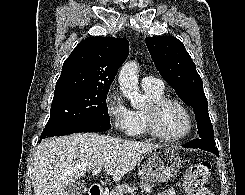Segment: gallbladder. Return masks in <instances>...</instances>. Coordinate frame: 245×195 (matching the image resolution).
Here are the masks:
<instances>
[{
    "instance_id": "obj_1",
    "label": "gallbladder",
    "mask_w": 245,
    "mask_h": 195,
    "mask_svg": "<svg viewBox=\"0 0 245 195\" xmlns=\"http://www.w3.org/2000/svg\"><path fill=\"white\" fill-rule=\"evenodd\" d=\"M86 187L81 182H74L66 187V195H84Z\"/></svg>"
}]
</instances>
